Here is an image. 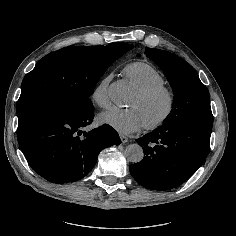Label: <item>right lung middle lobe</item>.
<instances>
[{"instance_id": "right-lung-middle-lobe-1", "label": "right lung middle lobe", "mask_w": 236, "mask_h": 236, "mask_svg": "<svg viewBox=\"0 0 236 236\" xmlns=\"http://www.w3.org/2000/svg\"><path fill=\"white\" fill-rule=\"evenodd\" d=\"M132 48L127 43L74 46L44 56L23 79L17 103L18 125L45 112L93 110L89 97L98 80Z\"/></svg>"}]
</instances>
